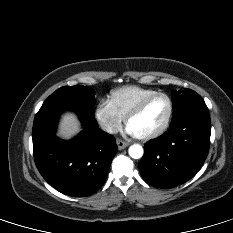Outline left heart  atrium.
<instances>
[{"label":"left heart atrium","mask_w":233,"mask_h":233,"mask_svg":"<svg viewBox=\"0 0 233 233\" xmlns=\"http://www.w3.org/2000/svg\"><path fill=\"white\" fill-rule=\"evenodd\" d=\"M126 130L129 134L136 136V133L129 126H127Z\"/></svg>","instance_id":"obj_1"}]
</instances>
